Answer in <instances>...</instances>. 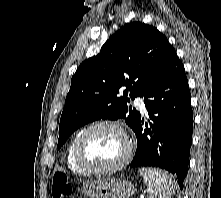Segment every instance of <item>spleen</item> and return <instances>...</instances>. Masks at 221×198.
<instances>
[{
	"label": "spleen",
	"mask_w": 221,
	"mask_h": 198,
	"mask_svg": "<svg viewBox=\"0 0 221 198\" xmlns=\"http://www.w3.org/2000/svg\"><path fill=\"white\" fill-rule=\"evenodd\" d=\"M139 174L143 177L149 193V198H171L175 187L169 176L158 169L141 168Z\"/></svg>",
	"instance_id": "obj_1"
}]
</instances>
